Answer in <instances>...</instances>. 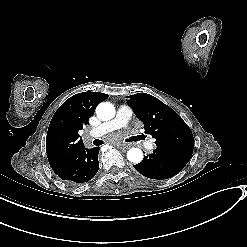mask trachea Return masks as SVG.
Instances as JSON below:
<instances>
[{"instance_id": "1", "label": "trachea", "mask_w": 247, "mask_h": 247, "mask_svg": "<svg viewBox=\"0 0 247 247\" xmlns=\"http://www.w3.org/2000/svg\"><path fill=\"white\" fill-rule=\"evenodd\" d=\"M93 144H94L95 146H100V145L103 144V141H102V140H99V139H96V140L93 141Z\"/></svg>"}]
</instances>
